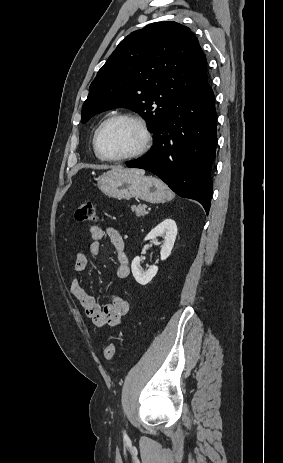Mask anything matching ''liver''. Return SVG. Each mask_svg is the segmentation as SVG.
Segmentation results:
<instances>
[{"label": "liver", "instance_id": "1", "mask_svg": "<svg viewBox=\"0 0 283 463\" xmlns=\"http://www.w3.org/2000/svg\"><path fill=\"white\" fill-rule=\"evenodd\" d=\"M112 171L120 172V173H122V172H134V173L141 174V175L145 174V171L141 170V169H124L122 167L114 168Z\"/></svg>", "mask_w": 283, "mask_h": 463}]
</instances>
